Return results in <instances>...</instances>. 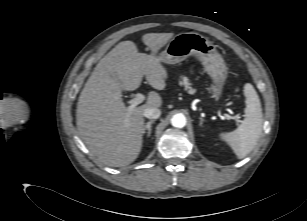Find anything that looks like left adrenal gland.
<instances>
[{
	"label": "left adrenal gland",
	"mask_w": 307,
	"mask_h": 221,
	"mask_svg": "<svg viewBox=\"0 0 307 221\" xmlns=\"http://www.w3.org/2000/svg\"><path fill=\"white\" fill-rule=\"evenodd\" d=\"M203 118H200V126H202L203 125Z\"/></svg>",
	"instance_id": "obj_1"
}]
</instances>
